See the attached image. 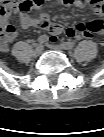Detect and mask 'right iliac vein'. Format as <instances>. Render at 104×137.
I'll use <instances>...</instances> for the list:
<instances>
[{"label": "right iliac vein", "mask_w": 104, "mask_h": 137, "mask_svg": "<svg viewBox=\"0 0 104 137\" xmlns=\"http://www.w3.org/2000/svg\"><path fill=\"white\" fill-rule=\"evenodd\" d=\"M42 50H43V48L41 45L36 46L34 51H33V55L35 57L39 56L42 53Z\"/></svg>", "instance_id": "63e3f726"}]
</instances>
